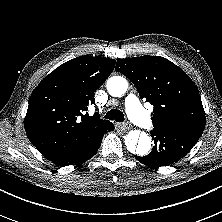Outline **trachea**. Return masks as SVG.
<instances>
[{
	"label": "trachea",
	"mask_w": 222,
	"mask_h": 222,
	"mask_svg": "<svg viewBox=\"0 0 222 222\" xmlns=\"http://www.w3.org/2000/svg\"><path fill=\"white\" fill-rule=\"evenodd\" d=\"M106 119L115 120L117 122H123L124 121V115L123 113L118 109H111L106 113L104 116Z\"/></svg>",
	"instance_id": "3493384b"
}]
</instances>
